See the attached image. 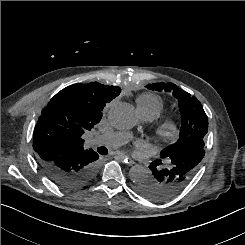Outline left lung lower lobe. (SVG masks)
<instances>
[{
	"label": "left lung lower lobe",
	"mask_w": 245,
	"mask_h": 245,
	"mask_svg": "<svg viewBox=\"0 0 245 245\" xmlns=\"http://www.w3.org/2000/svg\"><path fill=\"white\" fill-rule=\"evenodd\" d=\"M205 155L202 147H188L163 159L167 167H159L162 160L149 166L152 176L137 183L138 192L154 201H164L177 195L191 181Z\"/></svg>",
	"instance_id": "obj_1"
}]
</instances>
